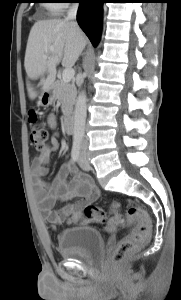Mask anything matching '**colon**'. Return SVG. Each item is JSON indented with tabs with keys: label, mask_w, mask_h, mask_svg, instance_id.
<instances>
[{
	"label": "colon",
	"mask_w": 181,
	"mask_h": 300,
	"mask_svg": "<svg viewBox=\"0 0 181 300\" xmlns=\"http://www.w3.org/2000/svg\"><path fill=\"white\" fill-rule=\"evenodd\" d=\"M36 120V114H31V123ZM31 144L41 148L48 139V130L45 126L32 124L29 131ZM119 203L113 202L109 211L101 207L88 205L84 208L85 217L92 223H105L109 231L119 226H132L135 228L123 238L115 249L112 259L116 263H122L132 256L142 245L146 244L151 236V222L148 212L143 207L131 206L126 214L118 213Z\"/></svg>",
	"instance_id": "obj_1"
}]
</instances>
